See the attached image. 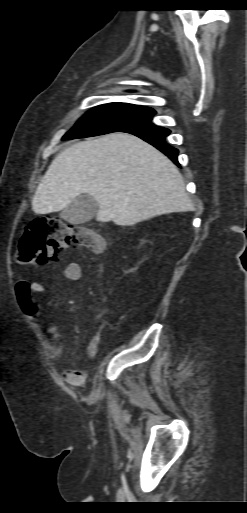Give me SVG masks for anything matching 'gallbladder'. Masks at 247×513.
<instances>
[{
	"label": "gallbladder",
	"mask_w": 247,
	"mask_h": 513,
	"mask_svg": "<svg viewBox=\"0 0 247 513\" xmlns=\"http://www.w3.org/2000/svg\"><path fill=\"white\" fill-rule=\"evenodd\" d=\"M98 210L95 199L87 194L79 195L60 213V217L71 224H83L93 219Z\"/></svg>",
	"instance_id": "bac80fb5"
}]
</instances>
